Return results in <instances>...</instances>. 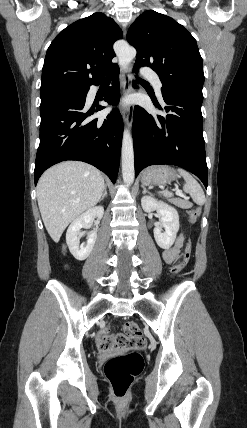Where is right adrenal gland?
I'll use <instances>...</instances> for the list:
<instances>
[{
    "label": "right adrenal gland",
    "instance_id": "2a0ac1e0",
    "mask_svg": "<svg viewBox=\"0 0 247 428\" xmlns=\"http://www.w3.org/2000/svg\"><path fill=\"white\" fill-rule=\"evenodd\" d=\"M107 196V185H104V193L102 194V197L100 198V201H102Z\"/></svg>",
    "mask_w": 247,
    "mask_h": 428
}]
</instances>
